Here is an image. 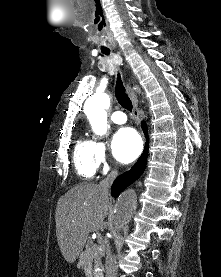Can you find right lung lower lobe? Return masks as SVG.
<instances>
[{
    "label": "right lung lower lobe",
    "mask_w": 221,
    "mask_h": 277,
    "mask_svg": "<svg viewBox=\"0 0 221 277\" xmlns=\"http://www.w3.org/2000/svg\"><path fill=\"white\" fill-rule=\"evenodd\" d=\"M142 128L146 134V139H147L144 151L141 157L139 158V160L136 162V164L129 171L117 177L116 180L113 182V185L111 188V195L113 197H118L120 193L127 186H129L131 183L137 180L145 170L146 163H147V156H148V134H147V128L144 122H142Z\"/></svg>",
    "instance_id": "right-lung-lower-lobe-1"
}]
</instances>
